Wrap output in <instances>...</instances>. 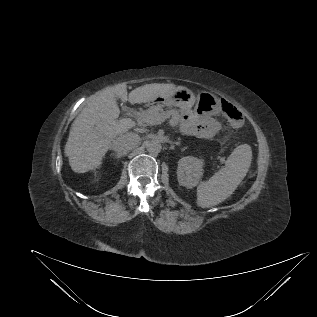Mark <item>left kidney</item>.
I'll use <instances>...</instances> for the list:
<instances>
[{"label": "left kidney", "instance_id": "5707ae66", "mask_svg": "<svg viewBox=\"0 0 317 317\" xmlns=\"http://www.w3.org/2000/svg\"><path fill=\"white\" fill-rule=\"evenodd\" d=\"M203 159L186 156L179 160L177 168V179L181 186L186 188L195 187L203 175Z\"/></svg>", "mask_w": 317, "mask_h": 317}]
</instances>
